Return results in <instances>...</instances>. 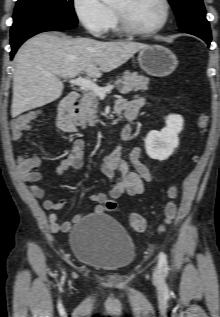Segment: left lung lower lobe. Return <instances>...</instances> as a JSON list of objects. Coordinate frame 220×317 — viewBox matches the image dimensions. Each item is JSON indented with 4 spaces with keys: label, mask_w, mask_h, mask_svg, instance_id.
<instances>
[{
    "label": "left lung lower lobe",
    "mask_w": 220,
    "mask_h": 317,
    "mask_svg": "<svg viewBox=\"0 0 220 317\" xmlns=\"http://www.w3.org/2000/svg\"><path fill=\"white\" fill-rule=\"evenodd\" d=\"M181 32L195 35L201 39H203L208 45L211 42V31L210 28H205L200 25H188L183 28H180Z\"/></svg>",
    "instance_id": "left-lung-lower-lobe-1"
}]
</instances>
